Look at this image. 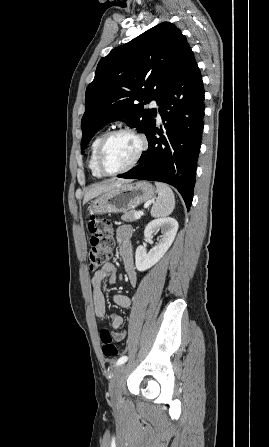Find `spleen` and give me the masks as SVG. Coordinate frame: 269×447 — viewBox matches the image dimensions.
Masks as SVG:
<instances>
[{
  "label": "spleen",
  "instance_id": "1",
  "mask_svg": "<svg viewBox=\"0 0 269 447\" xmlns=\"http://www.w3.org/2000/svg\"><path fill=\"white\" fill-rule=\"evenodd\" d=\"M155 186L158 192V198L151 208L152 218H165L170 216L175 208L174 194L166 184H160L155 182Z\"/></svg>",
  "mask_w": 269,
  "mask_h": 447
}]
</instances>
